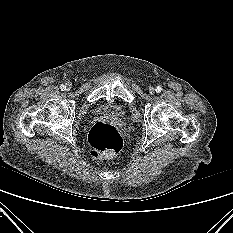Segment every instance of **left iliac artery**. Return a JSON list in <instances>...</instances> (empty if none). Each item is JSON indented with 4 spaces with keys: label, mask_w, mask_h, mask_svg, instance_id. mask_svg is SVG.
<instances>
[{
    "label": "left iliac artery",
    "mask_w": 233,
    "mask_h": 233,
    "mask_svg": "<svg viewBox=\"0 0 233 233\" xmlns=\"http://www.w3.org/2000/svg\"><path fill=\"white\" fill-rule=\"evenodd\" d=\"M155 90L157 93H160L162 91V88L160 86H157Z\"/></svg>",
    "instance_id": "left-iliac-artery-1"
}]
</instances>
